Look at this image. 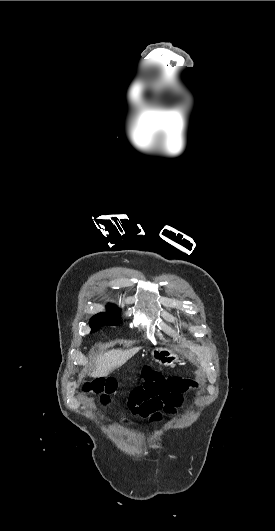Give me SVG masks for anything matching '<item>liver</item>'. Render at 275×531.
I'll return each mask as SVG.
<instances>
[{
  "mask_svg": "<svg viewBox=\"0 0 275 531\" xmlns=\"http://www.w3.org/2000/svg\"><path fill=\"white\" fill-rule=\"evenodd\" d=\"M140 349L141 347H134V349H128V351L112 349V351H107L104 355H99L95 361L96 367L93 373H90L91 377H108L111 371H114L117 367H122Z\"/></svg>",
  "mask_w": 275,
  "mask_h": 531,
  "instance_id": "1",
  "label": "liver"
}]
</instances>
